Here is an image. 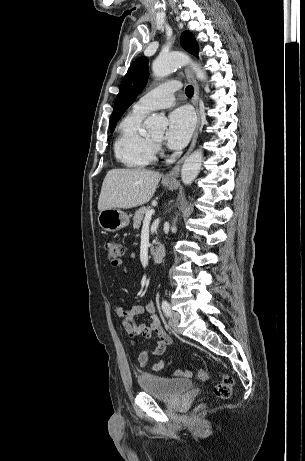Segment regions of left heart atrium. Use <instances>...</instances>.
Here are the masks:
<instances>
[{
    "mask_svg": "<svg viewBox=\"0 0 305 461\" xmlns=\"http://www.w3.org/2000/svg\"><path fill=\"white\" fill-rule=\"evenodd\" d=\"M195 125L194 115L186 107L172 111L168 118L166 132L167 145L172 149H181L189 141Z\"/></svg>",
    "mask_w": 305,
    "mask_h": 461,
    "instance_id": "obj_1",
    "label": "left heart atrium"
}]
</instances>
